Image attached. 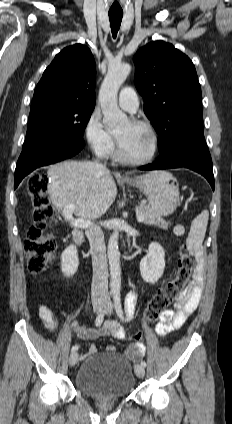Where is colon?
I'll use <instances>...</instances> for the list:
<instances>
[{"label": "colon", "instance_id": "1", "mask_svg": "<svg viewBox=\"0 0 232 424\" xmlns=\"http://www.w3.org/2000/svg\"><path fill=\"white\" fill-rule=\"evenodd\" d=\"M27 190L32 202L34 224L29 229L24 249L29 271L34 275H38L53 259L56 249L53 237L46 232V229L52 224L53 209L47 196L46 178L44 175L35 174L31 176L27 183ZM194 266L195 261L186 246H181L177 274L151 298L145 310V317L148 321L156 320L182 293ZM141 339L142 336L138 333L127 337L125 341L127 344L132 345L140 343Z\"/></svg>", "mask_w": 232, "mask_h": 424}]
</instances>
